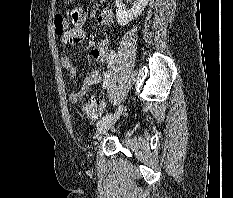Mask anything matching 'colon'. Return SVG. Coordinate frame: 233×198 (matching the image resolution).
Masks as SVG:
<instances>
[{
	"label": "colon",
	"instance_id": "1",
	"mask_svg": "<svg viewBox=\"0 0 233 198\" xmlns=\"http://www.w3.org/2000/svg\"><path fill=\"white\" fill-rule=\"evenodd\" d=\"M55 31L57 34L61 35L67 30V22L65 18L57 14L54 18ZM103 108V102L97 97H93L91 100L87 101L83 106V111L88 115H96Z\"/></svg>",
	"mask_w": 233,
	"mask_h": 198
}]
</instances>
